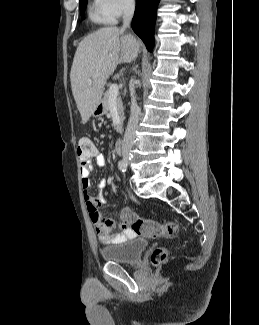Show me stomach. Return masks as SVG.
I'll list each match as a JSON object with an SVG mask.
<instances>
[{
	"label": "stomach",
	"instance_id": "stomach-1",
	"mask_svg": "<svg viewBox=\"0 0 259 325\" xmlns=\"http://www.w3.org/2000/svg\"><path fill=\"white\" fill-rule=\"evenodd\" d=\"M106 113V107L104 104V101L101 100L95 107V109L93 110V116L95 117H101Z\"/></svg>",
	"mask_w": 259,
	"mask_h": 325
}]
</instances>
